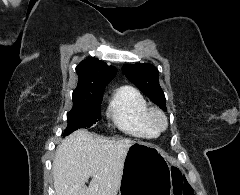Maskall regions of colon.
I'll return each instance as SVG.
<instances>
[{"mask_svg": "<svg viewBox=\"0 0 240 195\" xmlns=\"http://www.w3.org/2000/svg\"><path fill=\"white\" fill-rule=\"evenodd\" d=\"M185 186H175L176 195H192L190 185L184 181Z\"/></svg>", "mask_w": 240, "mask_h": 195, "instance_id": "1", "label": "colon"}]
</instances>
